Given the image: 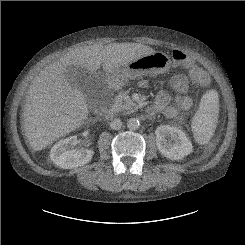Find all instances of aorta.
I'll return each mask as SVG.
<instances>
[{"label": "aorta", "mask_w": 245, "mask_h": 245, "mask_svg": "<svg viewBox=\"0 0 245 245\" xmlns=\"http://www.w3.org/2000/svg\"><path fill=\"white\" fill-rule=\"evenodd\" d=\"M139 126H140V123H139L138 119H136V118L128 119V121H127L128 129L137 130L139 128Z\"/></svg>", "instance_id": "762f6f07"}]
</instances>
